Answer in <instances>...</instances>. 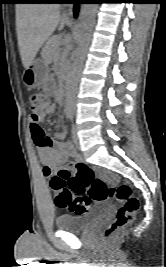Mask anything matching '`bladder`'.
<instances>
[{
  "mask_svg": "<svg viewBox=\"0 0 166 267\" xmlns=\"http://www.w3.org/2000/svg\"><path fill=\"white\" fill-rule=\"evenodd\" d=\"M96 218L92 214L86 215H61L57 217L55 224L59 230L67 232H82L88 230Z\"/></svg>",
  "mask_w": 166,
  "mask_h": 267,
  "instance_id": "1",
  "label": "bladder"
}]
</instances>
